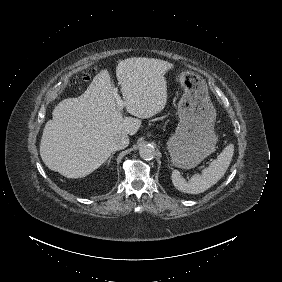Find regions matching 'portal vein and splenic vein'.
I'll use <instances>...</instances> for the list:
<instances>
[{
	"label": "portal vein and splenic vein",
	"instance_id": "1",
	"mask_svg": "<svg viewBox=\"0 0 282 282\" xmlns=\"http://www.w3.org/2000/svg\"><path fill=\"white\" fill-rule=\"evenodd\" d=\"M112 92L114 94L115 100L117 101V110L121 111L123 109L124 103L117 94V89L114 88Z\"/></svg>",
	"mask_w": 282,
	"mask_h": 282
}]
</instances>
